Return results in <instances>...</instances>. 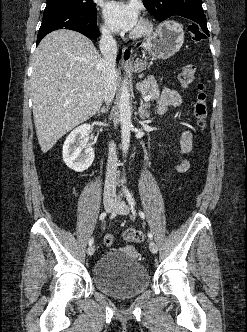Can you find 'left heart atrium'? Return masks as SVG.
Instances as JSON below:
<instances>
[{"instance_id":"obj_1","label":"left heart atrium","mask_w":247,"mask_h":332,"mask_svg":"<svg viewBox=\"0 0 247 332\" xmlns=\"http://www.w3.org/2000/svg\"><path fill=\"white\" fill-rule=\"evenodd\" d=\"M104 18L112 29L122 32L134 31L140 24L139 8L132 2H109L104 9Z\"/></svg>"}]
</instances>
